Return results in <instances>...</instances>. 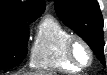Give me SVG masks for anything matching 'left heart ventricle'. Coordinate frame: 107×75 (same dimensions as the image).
Listing matches in <instances>:
<instances>
[{
    "instance_id": "obj_1",
    "label": "left heart ventricle",
    "mask_w": 107,
    "mask_h": 75,
    "mask_svg": "<svg viewBox=\"0 0 107 75\" xmlns=\"http://www.w3.org/2000/svg\"><path fill=\"white\" fill-rule=\"evenodd\" d=\"M74 53L76 58L82 62V63H86L88 61V52L85 49L84 46H82L81 44H76L74 47Z\"/></svg>"
}]
</instances>
